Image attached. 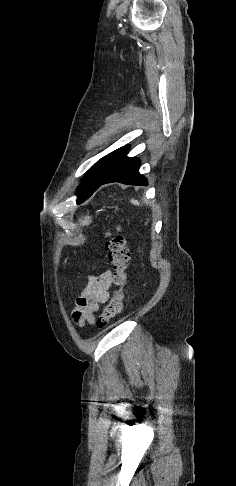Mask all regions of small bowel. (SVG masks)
I'll use <instances>...</instances> for the list:
<instances>
[{
  "instance_id": "small-bowel-1",
  "label": "small bowel",
  "mask_w": 236,
  "mask_h": 486,
  "mask_svg": "<svg viewBox=\"0 0 236 486\" xmlns=\"http://www.w3.org/2000/svg\"><path fill=\"white\" fill-rule=\"evenodd\" d=\"M112 273L109 270L90 277L87 286L76 300L72 313L73 321L79 326L94 321V312L101 304L107 302L112 286Z\"/></svg>"
}]
</instances>
